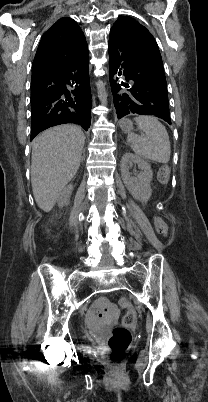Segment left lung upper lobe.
Returning <instances> with one entry per match:
<instances>
[{
	"label": "left lung upper lobe",
	"instance_id": "left-lung-upper-lobe-1",
	"mask_svg": "<svg viewBox=\"0 0 208 402\" xmlns=\"http://www.w3.org/2000/svg\"><path fill=\"white\" fill-rule=\"evenodd\" d=\"M112 28H116L133 41L138 40L135 45L136 72L167 90L159 48L148 29L128 16L120 17Z\"/></svg>",
	"mask_w": 208,
	"mask_h": 402
}]
</instances>
